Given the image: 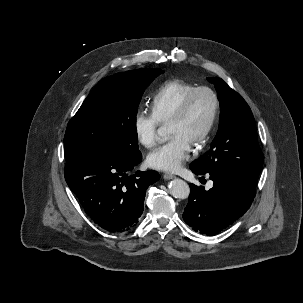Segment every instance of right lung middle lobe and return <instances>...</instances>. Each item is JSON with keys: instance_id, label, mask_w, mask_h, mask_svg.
I'll return each instance as SVG.
<instances>
[{"instance_id": "right-lung-middle-lobe-1", "label": "right lung middle lobe", "mask_w": 303, "mask_h": 303, "mask_svg": "<svg viewBox=\"0 0 303 303\" xmlns=\"http://www.w3.org/2000/svg\"><path fill=\"white\" fill-rule=\"evenodd\" d=\"M161 69H137L102 79L69 121L64 156L98 146L125 159L141 157L136 114L141 96Z\"/></svg>"}]
</instances>
